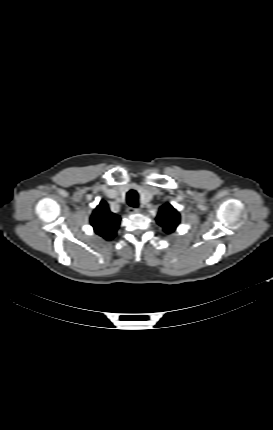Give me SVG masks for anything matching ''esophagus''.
<instances>
[{"label":"esophagus","mask_w":273,"mask_h":430,"mask_svg":"<svg viewBox=\"0 0 273 430\" xmlns=\"http://www.w3.org/2000/svg\"><path fill=\"white\" fill-rule=\"evenodd\" d=\"M127 212H128L129 214H136V213H139V212H140V209H139V208L129 207V208L127 209Z\"/></svg>","instance_id":"1"}]
</instances>
